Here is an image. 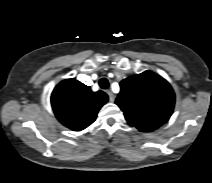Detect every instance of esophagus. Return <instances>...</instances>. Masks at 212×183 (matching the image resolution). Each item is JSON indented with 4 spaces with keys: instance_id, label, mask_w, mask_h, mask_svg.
<instances>
[{
    "instance_id": "obj_1",
    "label": "esophagus",
    "mask_w": 212,
    "mask_h": 183,
    "mask_svg": "<svg viewBox=\"0 0 212 183\" xmlns=\"http://www.w3.org/2000/svg\"><path fill=\"white\" fill-rule=\"evenodd\" d=\"M107 94L109 96V100L111 102H114L115 101V94L112 91H110V90L107 91Z\"/></svg>"
}]
</instances>
